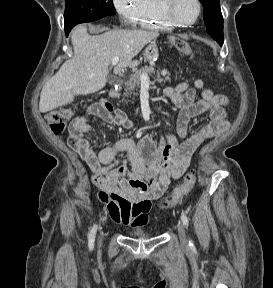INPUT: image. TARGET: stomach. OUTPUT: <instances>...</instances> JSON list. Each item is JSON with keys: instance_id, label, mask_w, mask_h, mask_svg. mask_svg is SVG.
I'll use <instances>...</instances> for the list:
<instances>
[{"instance_id": "stomach-1", "label": "stomach", "mask_w": 273, "mask_h": 288, "mask_svg": "<svg viewBox=\"0 0 273 288\" xmlns=\"http://www.w3.org/2000/svg\"><path fill=\"white\" fill-rule=\"evenodd\" d=\"M159 56L158 46L155 41L151 42L144 51V60L146 62L155 61Z\"/></svg>"}]
</instances>
